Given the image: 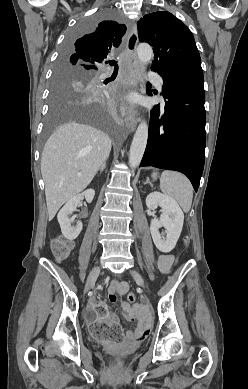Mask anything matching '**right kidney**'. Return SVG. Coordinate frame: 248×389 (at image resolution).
Returning <instances> with one entry per match:
<instances>
[{
  "label": "right kidney",
  "instance_id": "obj_1",
  "mask_svg": "<svg viewBox=\"0 0 248 389\" xmlns=\"http://www.w3.org/2000/svg\"><path fill=\"white\" fill-rule=\"evenodd\" d=\"M82 196L85 197L88 203H91L95 196V191L93 189H88L83 193L74 196L64 205L57 216L63 236L71 241L78 237L83 227L81 222H78L76 226H72V220L69 218V215L72 214L80 204Z\"/></svg>",
  "mask_w": 248,
  "mask_h": 389
}]
</instances>
